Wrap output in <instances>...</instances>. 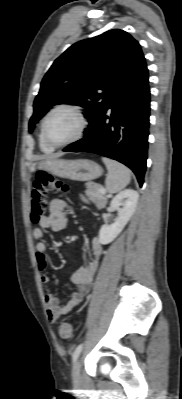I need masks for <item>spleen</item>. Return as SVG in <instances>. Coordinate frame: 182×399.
Here are the masks:
<instances>
[{"label":"spleen","mask_w":182,"mask_h":399,"mask_svg":"<svg viewBox=\"0 0 182 399\" xmlns=\"http://www.w3.org/2000/svg\"><path fill=\"white\" fill-rule=\"evenodd\" d=\"M102 161L108 169L105 181L108 192L117 193L124 189L131 180L130 170L123 164L112 159L103 157Z\"/></svg>","instance_id":"3e777b00"}]
</instances>
